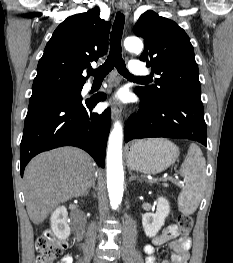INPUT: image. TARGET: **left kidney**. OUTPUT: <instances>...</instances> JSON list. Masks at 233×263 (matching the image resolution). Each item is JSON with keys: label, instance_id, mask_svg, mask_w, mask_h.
I'll list each match as a JSON object with an SVG mask.
<instances>
[{"label": "left kidney", "instance_id": "left-kidney-1", "mask_svg": "<svg viewBox=\"0 0 233 263\" xmlns=\"http://www.w3.org/2000/svg\"><path fill=\"white\" fill-rule=\"evenodd\" d=\"M170 212V205L166 198L159 197L156 213H146L142 216L144 232L148 237H154L162 228L165 218Z\"/></svg>", "mask_w": 233, "mask_h": 263}]
</instances>
